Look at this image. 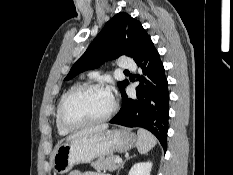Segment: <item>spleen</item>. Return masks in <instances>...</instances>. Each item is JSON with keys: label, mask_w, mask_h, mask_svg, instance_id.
Here are the masks:
<instances>
[{"label": "spleen", "mask_w": 233, "mask_h": 175, "mask_svg": "<svg viewBox=\"0 0 233 175\" xmlns=\"http://www.w3.org/2000/svg\"><path fill=\"white\" fill-rule=\"evenodd\" d=\"M137 135V149L141 154L149 152L157 143L155 136L145 129H138Z\"/></svg>", "instance_id": "obj_1"}]
</instances>
